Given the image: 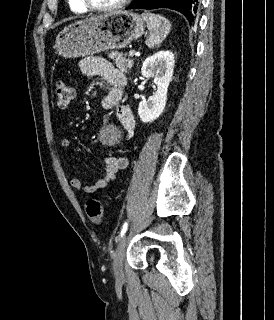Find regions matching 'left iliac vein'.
I'll list each match as a JSON object with an SVG mask.
<instances>
[{"label": "left iliac vein", "instance_id": "4c4485c4", "mask_svg": "<svg viewBox=\"0 0 274 320\" xmlns=\"http://www.w3.org/2000/svg\"><path fill=\"white\" fill-rule=\"evenodd\" d=\"M126 245H127V235H123V237L120 239L118 243V246L114 254V259H113V269L118 279H122L124 276L123 262L125 257Z\"/></svg>", "mask_w": 274, "mask_h": 320}]
</instances>
